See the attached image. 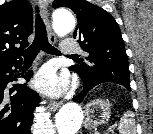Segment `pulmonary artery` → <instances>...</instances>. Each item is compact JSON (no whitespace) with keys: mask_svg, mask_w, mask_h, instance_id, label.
I'll use <instances>...</instances> for the list:
<instances>
[{"mask_svg":"<svg viewBox=\"0 0 153 134\" xmlns=\"http://www.w3.org/2000/svg\"><path fill=\"white\" fill-rule=\"evenodd\" d=\"M80 47L73 39H66L61 46V53L64 55H71L79 52Z\"/></svg>","mask_w":153,"mask_h":134,"instance_id":"pulmonary-artery-1","label":"pulmonary artery"}]
</instances>
